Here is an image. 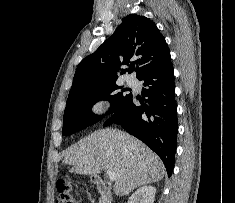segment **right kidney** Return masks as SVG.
Returning a JSON list of instances; mask_svg holds the SVG:
<instances>
[{"mask_svg":"<svg viewBox=\"0 0 235 203\" xmlns=\"http://www.w3.org/2000/svg\"><path fill=\"white\" fill-rule=\"evenodd\" d=\"M155 194L156 188L143 186L130 196L128 203H154Z\"/></svg>","mask_w":235,"mask_h":203,"instance_id":"obj_1","label":"right kidney"}]
</instances>
